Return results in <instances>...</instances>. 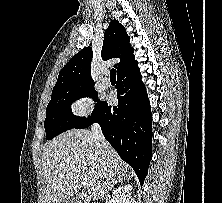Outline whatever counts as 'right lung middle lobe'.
<instances>
[{"mask_svg": "<svg viewBox=\"0 0 222 203\" xmlns=\"http://www.w3.org/2000/svg\"><path fill=\"white\" fill-rule=\"evenodd\" d=\"M97 92L93 85H85L52 92L51 100L47 106V115L44 122L46 139L51 140L60 133L74 128L86 117L74 116L71 110L73 101L91 97L97 101ZM101 103L97 101L95 108Z\"/></svg>", "mask_w": 222, "mask_h": 203, "instance_id": "right-lung-middle-lobe-1", "label": "right lung middle lobe"}]
</instances>
